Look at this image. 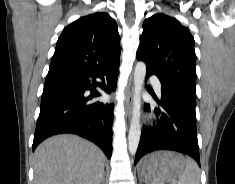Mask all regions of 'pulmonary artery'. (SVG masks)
I'll list each match as a JSON object with an SVG mask.
<instances>
[{
    "label": "pulmonary artery",
    "instance_id": "obj_1",
    "mask_svg": "<svg viewBox=\"0 0 235 184\" xmlns=\"http://www.w3.org/2000/svg\"><path fill=\"white\" fill-rule=\"evenodd\" d=\"M151 81H152V83H153V85H154L156 91H157L158 93H160V92H161V83H160V81L158 80V78H157L156 76H152V77H151Z\"/></svg>",
    "mask_w": 235,
    "mask_h": 184
}]
</instances>
